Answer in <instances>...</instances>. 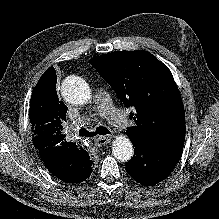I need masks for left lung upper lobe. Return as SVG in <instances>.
I'll return each mask as SVG.
<instances>
[{
  "label": "left lung upper lobe",
  "mask_w": 219,
  "mask_h": 219,
  "mask_svg": "<svg viewBox=\"0 0 219 219\" xmlns=\"http://www.w3.org/2000/svg\"><path fill=\"white\" fill-rule=\"evenodd\" d=\"M90 62L123 104L135 109L129 118L136 124L126 131L131 139L183 149L184 107L172 73L162 62L147 51H115Z\"/></svg>",
  "instance_id": "1"
}]
</instances>
